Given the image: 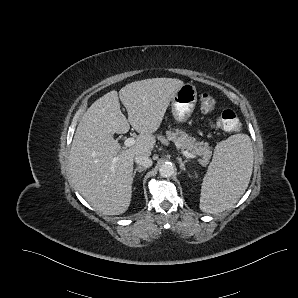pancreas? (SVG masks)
Listing matches in <instances>:
<instances>
[{"instance_id":"pancreas-1","label":"pancreas","mask_w":298,"mask_h":298,"mask_svg":"<svg viewBox=\"0 0 298 298\" xmlns=\"http://www.w3.org/2000/svg\"><path fill=\"white\" fill-rule=\"evenodd\" d=\"M163 131H165L166 137L161 133L157 134L160 142H164L165 140L172 141L178 147L188 150L194 156H198L199 163L202 166L209 164L213 149L209 146L208 142L198 141L196 137L183 128L170 127Z\"/></svg>"}]
</instances>
